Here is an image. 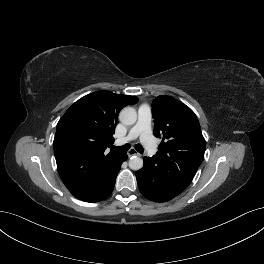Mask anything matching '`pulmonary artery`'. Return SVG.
<instances>
[{"label":"pulmonary artery","instance_id":"pulmonary-artery-1","mask_svg":"<svg viewBox=\"0 0 264 264\" xmlns=\"http://www.w3.org/2000/svg\"><path fill=\"white\" fill-rule=\"evenodd\" d=\"M151 123V109L147 105H142L138 109V120L136 124L130 129L128 135L124 138L118 139L117 144L123 145L136 138H140L149 155H154L157 152L156 143L150 131Z\"/></svg>","mask_w":264,"mask_h":264}]
</instances>
